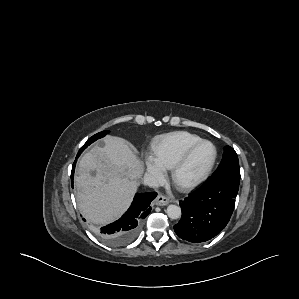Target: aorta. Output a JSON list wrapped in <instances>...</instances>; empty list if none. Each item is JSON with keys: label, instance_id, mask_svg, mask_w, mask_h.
I'll return each instance as SVG.
<instances>
[{"label": "aorta", "instance_id": "762f6f07", "mask_svg": "<svg viewBox=\"0 0 299 299\" xmlns=\"http://www.w3.org/2000/svg\"><path fill=\"white\" fill-rule=\"evenodd\" d=\"M166 213L171 219H178L181 217V208L177 205H169L167 207Z\"/></svg>", "mask_w": 299, "mask_h": 299}]
</instances>
